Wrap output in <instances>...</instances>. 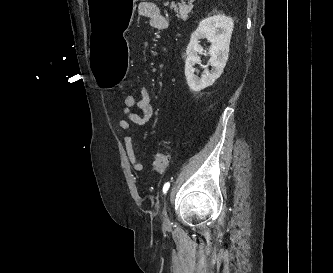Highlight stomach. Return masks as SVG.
<instances>
[{
	"mask_svg": "<svg viewBox=\"0 0 333 273\" xmlns=\"http://www.w3.org/2000/svg\"><path fill=\"white\" fill-rule=\"evenodd\" d=\"M139 0H87L90 31L87 51L96 83L112 88L125 81L129 70L130 49L123 38L134 19L135 2Z\"/></svg>",
	"mask_w": 333,
	"mask_h": 273,
	"instance_id": "obj_1",
	"label": "stomach"
}]
</instances>
